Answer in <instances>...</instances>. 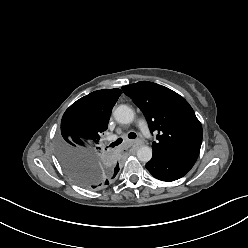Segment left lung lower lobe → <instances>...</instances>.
Segmentation results:
<instances>
[{
    "mask_svg": "<svg viewBox=\"0 0 248 248\" xmlns=\"http://www.w3.org/2000/svg\"><path fill=\"white\" fill-rule=\"evenodd\" d=\"M198 153H177L160 155L153 153L152 159L146 164L153 177L162 181H175L183 177L195 164Z\"/></svg>",
    "mask_w": 248,
    "mask_h": 248,
    "instance_id": "1",
    "label": "left lung lower lobe"
}]
</instances>
